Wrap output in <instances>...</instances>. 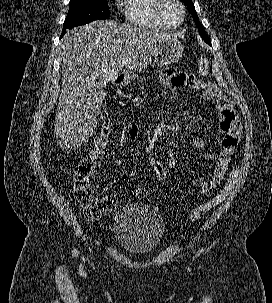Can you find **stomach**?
I'll use <instances>...</instances> for the list:
<instances>
[{
  "mask_svg": "<svg viewBox=\"0 0 272 303\" xmlns=\"http://www.w3.org/2000/svg\"><path fill=\"white\" fill-rule=\"evenodd\" d=\"M183 50L184 46L178 39L167 38L159 44L155 54V62L161 66L176 63L182 57Z\"/></svg>",
  "mask_w": 272,
  "mask_h": 303,
  "instance_id": "obj_1",
  "label": "stomach"
}]
</instances>
